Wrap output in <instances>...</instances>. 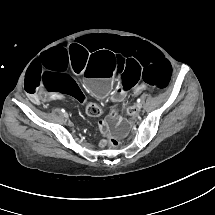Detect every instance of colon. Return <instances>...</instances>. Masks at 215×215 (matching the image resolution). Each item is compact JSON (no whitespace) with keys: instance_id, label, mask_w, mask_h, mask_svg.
<instances>
[{"instance_id":"1","label":"colon","mask_w":215,"mask_h":215,"mask_svg":"<svg viewBox=\"0 0 215 215\" xmlns=\"http://www.w3.org/2000/svg\"><path fill=\"white\" fill-rule=\"evenodd\" d=\"M85 112H86V114L88 115V116H91V117H96V116H99V115H101V113H102V110H101V108L97 105V104H95V103H89L86 107H85ZM120 111L118 110V111H111L110 112V115L112 116V117H115V116H117V115H120Z\"/></svg>"}]
</instances>
